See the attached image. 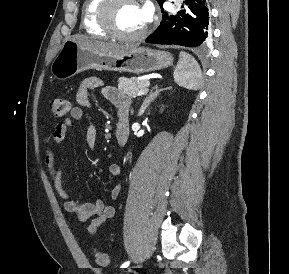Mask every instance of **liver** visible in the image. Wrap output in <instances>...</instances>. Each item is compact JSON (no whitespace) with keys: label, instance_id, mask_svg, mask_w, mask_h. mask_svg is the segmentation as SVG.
<instances>
[{"label":"liver","instance_id":"liver-1","mask_svg":"<svg viewBox=\"0 0 289 274\" xmlns=\"http://www.w3.org/2000/svg\"><path fill=\"white\" fill-rule=\"evenodd\" d=\"M73 40L90 50L106 54H123L135 48L134 46L129 45H119L105 41L90 40L78 37L73 38Z\"/></svg>","mask_w":289,"mask_h":274}]
</instances>
